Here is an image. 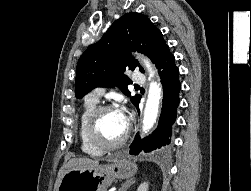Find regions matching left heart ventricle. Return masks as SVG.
Masks as SVG:
<instances>
[{
  "instance_id": "b2bd125f",
  "label": "left heart ventricle",
  "mask_w": 251,
  "mask_h": 191,
  "mask_svg": "<svg viewBox=\"0 0 251 191\" xmlns=\"http://www.w3.org/2000/svg\"><path fill=\"white\" fill-rule=\"evenodd\" d=\"M125 127L126 123L117 117L115 111H107L101 118L99 135L103 141L114 143L122 137Z\"/></svg>"
}]
</instances>
